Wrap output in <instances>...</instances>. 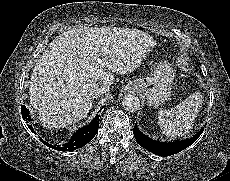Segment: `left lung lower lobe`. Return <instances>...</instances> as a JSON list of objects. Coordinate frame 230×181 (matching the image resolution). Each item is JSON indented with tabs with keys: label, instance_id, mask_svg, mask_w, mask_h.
<instances>
[{
	"label": "left lung lower lobe",
	"instance_id": "1",
	"mask_svg": "<svg viewBox=\"0 0 230 181\" xmlns=\"http://www.w3.org/2000/svg\"><path fill=\"white\" fill-rule=\"evenodd\" d=\"M203 131L204 128H202L200 132L193 138L186 140L174 142H158L153 139H150L148 136H145L142 132L138 130L136 125L133 128L134 137L137 143L143 148L147 149L148 151L159 156H170L179 153L180 151L184 150L185 148L193 144Z\"/></svg>",
	"mask_w": 230,
	"mask_h": 181
}]
</instances>
